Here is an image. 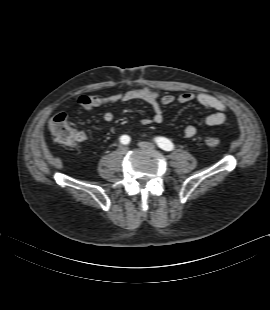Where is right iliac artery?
<instances>
[{"label": "right iliac artery", "instance_id": "1", "mask_svg": "<svg viewBox=\"0 0 270 310\" xmlns=\"http://www.w3.org/2000/svg\"><path fill=\"white\" fill-rule=\"evenodd\" d=\"M120 142L126 145L130 142V137L128 135H122L120 137Z\"/></svg>", "mask_w": 270, "mask_h": 310}]
</instances>
